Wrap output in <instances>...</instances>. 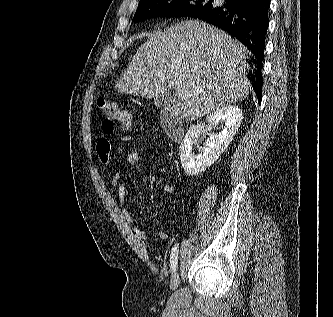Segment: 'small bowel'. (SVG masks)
<instances>
[{"label": "small bowel", "mask_w": 333, "mask_h": 317, "mask_svg": "<svg viewBox=\"0 0 333 317\" xmlns=\"http://www.w3.org/2000/svg\"><path fill=\"white\" fill-rule=\"evenodd\" d=\"M120 140L122 142H129L130 136L123 135L120 138ZM96 151H97V154H98L101 162L104 165H108L110 162V156L112 153V144H111L110 140L105 137L99 138L97 141V144H96ZM143 160H146V156L140 152L135 151V152L130 153L126 157L125 163L127 166H133L136 163L143 161ZM111 184L117 190L124 217L127 220V222L130 224L134 234L141 240H147L148 234L144 230L139 228L133 221V218H132V215L130 212V205H129L128 197H127V190H126L124 183L121 182L120 175L117 171H114L112 174ZM163 192L166 195H173L175 191H174V188L172 185L165 184L163 186ZM167 236H168V234L166 231H160L157 235L158 239H160V240L166 239Z\"/></svg>", "instance_id": "obj_1"}]
</instances>
